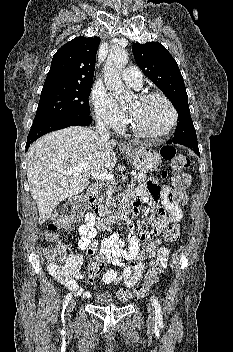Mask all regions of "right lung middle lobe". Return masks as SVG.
Here are the masks:
<instances>
[{
  "label": "right lung middle lobe",
  "mask_w": 233,
  "mask_h": 352,
  "mask_svg": "<svg viewBox=\"0 0 233 352\" xmlns=\"http://www.w3.org/2000/svg\"><path fill=\"white\" fill-rule=\"evenodd\" d=\"M91 87H43L33 123L72 115L90 116L88 98Z\"/></svg>",
  "instance_id": "1"
}]
</instances>
